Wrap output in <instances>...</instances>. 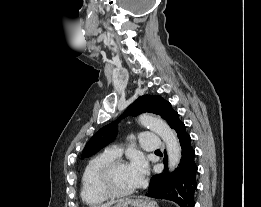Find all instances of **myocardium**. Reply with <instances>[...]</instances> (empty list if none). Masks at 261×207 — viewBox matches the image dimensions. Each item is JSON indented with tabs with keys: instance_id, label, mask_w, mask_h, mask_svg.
Masks as SVG:
<instances>
[{
	"instance_id": "myocardium-1",
	"label": "myocardium",
	"mask_w": 261,
	"mask_h": 207,
	"mask_svg": "<svg viewBox=\"0 0 261 207\" xmlns=\"http://www.w3.org/2000/svg\"><path fill=\"white\" fill-rule=\"evenodd\" d=\"M127 165L126 161L123 159H114L108 164H106L100 171L98 183L101 191L108 198H122L133 194L136 187L127 191H118L112 185V176L115 169L119 166Z\"/></svg>"
}]
</instances>
